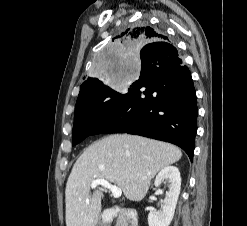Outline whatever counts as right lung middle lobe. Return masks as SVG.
I'll return each instance as SVG.
<instances>
[{
    "label": "right lung middle lobe",
    "mask_w": 247,
    "mask_h": 226,
    "mask_svg": "<svg viewBox=\"0 0 247 226\" xmlns=\"http://www.w3.org/2000/svg\"><path fill=\"white\" fill-rule=\"evenodd\" d=\"M123 93L100 83L77 99L73 126V146L92 135L98 124L122 99Z\"/></svg>",
    "instance_id": "1"
}]
</instances>
